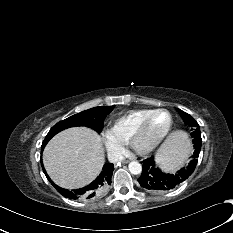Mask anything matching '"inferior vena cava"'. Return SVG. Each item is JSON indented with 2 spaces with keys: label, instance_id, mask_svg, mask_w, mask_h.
I'll use <instances>...</instances> for the list:
<instances>
[{
  "label": "inferior vena cava",
  "instance_id": "1",
  "mask_svg": "<svg viewBox=\"0 0 233 233\" xmlns=\"http://www.w3.org/2000/svg\"><path fill=\"white\" fill-rule=\"evenodd\" d=\"M124 159L123 155L117 152L108 153V160L111 163H117Z\"/></svg>",
  "mask_w": 233,
  "mask_h": 233
}]
</instances>
